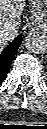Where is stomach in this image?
I'll return each mask as SVG.
<instances>
[{"label":"stomach","instance_id":"0dacf381","mask_svg":"<svg viewBox=\"0 0 47 129\" xmlns=\"http://www.w3.org/2000/svg\"><path fill=\"white\" fill-rule=\"evenodd\" d=\"M31 3L34 10L29 28L47 31V0H31Z\"/></svg>","mask_w":47,"mask_h":129}]
</instances>
